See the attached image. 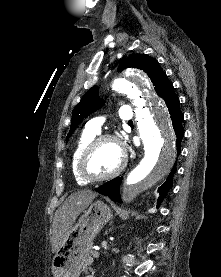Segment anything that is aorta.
Returning <instances> with one entry per match:
<instances>
[{
	"label": "aorta",
	"mask_w": 221,
	"mask_h": 277,
	"mask_svg": "<svg viewBox=\"0 0 221 277\" xmlns=\"http://www.w3.org/2000/svg\"><path fill=\"white\" fill-rule=\"evenodd\" d=\"M112 88L133 101L144 145V157L126 178L125 201L131 202L169 172L175 158V136L165 105L158 99L144 97L149 85L142 72L127 70L114 79Z\"/></svg>",
	"instance_id": "1"
}]
</instances>
